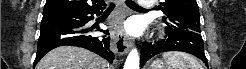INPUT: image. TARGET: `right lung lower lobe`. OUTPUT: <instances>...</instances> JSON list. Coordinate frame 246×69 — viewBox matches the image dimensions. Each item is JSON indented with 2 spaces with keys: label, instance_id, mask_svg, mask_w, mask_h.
I'll list each match as a JSON object with an SVG mask.
<instances>
[{
  "label": "right lung lower lobe",
  "instance_id": "1",
  "mask_svg": "<svg viewBox=\"0 0 246 69\" xmlns=\"http://www.w3.org/2000/svg\"><path fill=\"white\" fill-rule=\"evenodd\" d=\"M103 9L89 11H59L43 15L40 28V37L35 64L50 50L63 46L73 45L91 50L110 63L114 60V54L109 49V37H95L93 31H101L108 34V30L88 27L87 22L93 20V15H100Z\"/></svg>",
  "mask_w": 246,
  "mask_h": 69
}]
</instances>
